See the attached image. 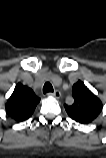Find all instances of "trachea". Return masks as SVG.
Segmentation results:
<instances>
[{"label":"trachea","instance_id":"trachea-1","mask_svg":"<svg viewBox=\"0 0 106 158\" xmlns=\"http://www.w3.org/2000/svg\"><path fill=\"white\" fill-rule=\"evenodd\" d=\"M48 92H53V87L49 82L45 83L43 86V93L46 94Z\"/></svg>","mask_w":106,"mask_h":158}]
</instances>
